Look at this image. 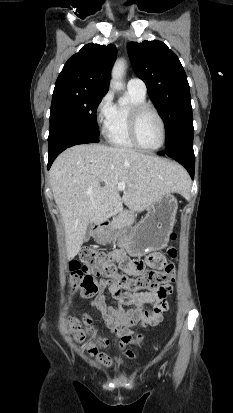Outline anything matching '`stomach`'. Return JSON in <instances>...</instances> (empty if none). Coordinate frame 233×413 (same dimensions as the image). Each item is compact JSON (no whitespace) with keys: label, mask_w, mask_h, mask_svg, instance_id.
Masks as SVG:
<instances>
[{"label":"stomach","mask_w":233,"mask_h":413,"mask_svg":"<svg viewBox=\"0 0 233 413\" xmlns=\"http://www.w3.org/2000/svg\"><path fill=\"white\" fill-rule=\"evenodd\" d=\"M178 203L171 194H165L147 208L146 216L135 227L112 229L101 226L93 236L98 243L111 242L117 233L129 255L140 257L150 251L163 249L175 224Z\"/></svg>","instance_id":"1"}]
</instances>
